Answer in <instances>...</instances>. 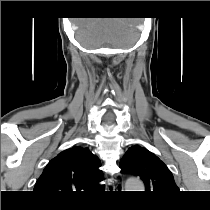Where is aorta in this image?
<instances>
[{"instance_id": "obj_1", "label": "aorta", "mask_w": 210, "mask_h": 210, "mask_svg": "<svg viewBox=\"0 0 210 210\" xmlns=\"http://www.w3.org/2000/svg\"><path fill=\"white\" fill-rule=\"evenodd\" d=\"M126 189L128 191H143L144 185L139 179L131 178L126 182Z\"/></svg>"}]
</instances>
